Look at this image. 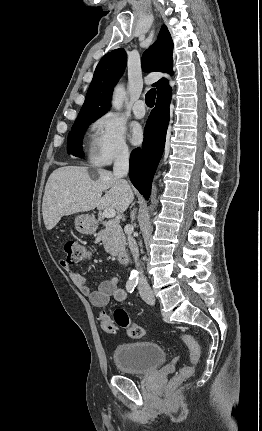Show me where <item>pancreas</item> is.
I'll use <instances>...</instances> for the list:
<instances>
[{
	"instance_id": "obj_1",
	"label": "pancreas",
	"mask_w": 262,
	"mask_h": 431,
	"mask_svg": "<svg viewBox=\"0 0 262 431\" xmlns=\"http://www.w3.org/2000/svg\"><path fill=\"white\" fill-rule=\"evenodd\" d=\"M105 229L95 236L102 240L106 252L118 255L125 250L126 240L119 220L103 221Z\"/></svg>"
}]
</instances>
